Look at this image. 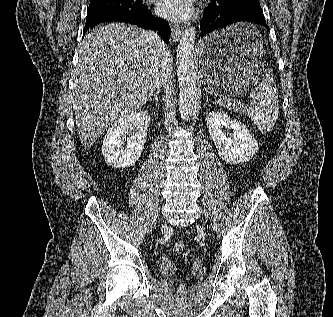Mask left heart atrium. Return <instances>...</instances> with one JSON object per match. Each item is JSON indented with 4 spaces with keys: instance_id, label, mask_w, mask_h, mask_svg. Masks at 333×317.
Instances as JSON below:
<instances>
[{
    "instance_id": "39dd6f15",
    "label": "left heart atrium",
    "mask_w": 333,
    "mask_h": 317,
    "mask_svg": "<svg viewBox=\"0 0 333 317\" xmlns=\"http://www.w3.org/2000/svg\"><path fill=\"white\" fill-rule=\"evenodd\" d=\"M157 12L161 16L173 20L186 19L192 12L191 0H160Z\"/></svg>"
}]
</instances>
